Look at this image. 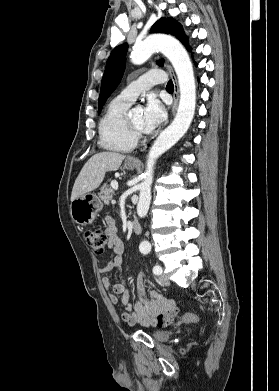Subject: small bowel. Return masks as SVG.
<instances>
[{"instance_id": "c3829d8e", "label": "small bowel", "mask_w": 279, "mask_h": 391, "mask_svg": "<svg viewBox=\"0 0 279 391\" xmlns=\"http://www.w3.org/2000/svg\"><path fill=\"white\" fill-rule=\"evenodd\" d=\"M106 221L108 225L105 233L108 237V246L113 250L114 255L111 261L100 269V272L107 273L115 269L121 273L123 269V243L117 233L114 220L108 216ZM102 282L104 287L110 291L109 297L113 305L124 308L121 317L130 326L165 327L174 323L178 316V308L173 300L161 296L154 290L147 293L143 291L144 284L148 283L143 274L138 276L141 300L136 302L131 301L129 288L123 278L118 283L112 284L108 277H104ZM118 295H121V298Z\"/></svg>"}]
</instances>
